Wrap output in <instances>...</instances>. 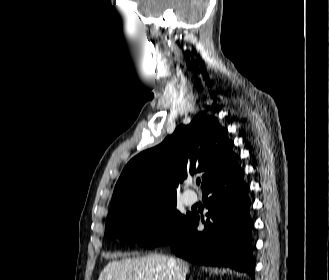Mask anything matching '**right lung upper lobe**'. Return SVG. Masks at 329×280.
Instances as JSON below:
<instances>
[{
	"instance_id": "right-lung-upper-lobe-1",
	"label": "right lung upper lobe",
	"mask_w": 329,
	"mask_h": 280,
	"mask_svg": "<svg viewBox=\"0 0 329 280\" xmlns=\"http://www.w3.org/2000/svg\"><path fill=\"white\" fill-rule=\"evenodd\" d=\"M233 142L217 118L198 113L160 145L132 158L114 188L110 212L151 196L176 197L187 172H202V189L237 165Z\"/></svg>"
}]
</instances>
